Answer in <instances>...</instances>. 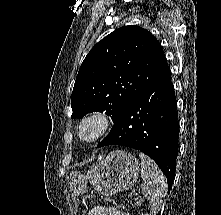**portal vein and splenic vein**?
<instances>
[{
	"mask_svg": "<svg viewBox=\"0 0 221 215\" xmlns=\"http://www.w3.org/2000/svg\"><path fill=\"white\" fill-rule=\"evenodd\" d=\"M133 193H134V194H137V191L134 190Z\"/></svg>",
	"mask_w": 221,
	"mask_h": 215,
	"instance_id": "obj_1",
	"label": "portal vein and splenic vein"
}]
</instances>
